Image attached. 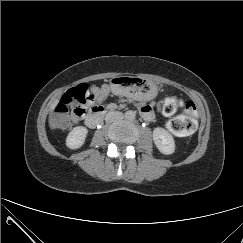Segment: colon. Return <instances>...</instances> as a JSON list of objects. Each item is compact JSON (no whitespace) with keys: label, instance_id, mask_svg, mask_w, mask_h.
Returning <instances> with one entry per match:
<instances>
[{"label":"colon","instance_id":"colon-1","mask_svg":"<svg viewBox=\"0 0 243 243\" xmlns=\"http://www.w3.org/2000/svg\"><path fill=\"white\" fill-rule=\"evenodd\" d=\"M93 98V88L87 83H81L69 89L55 107L50 118L51 126L55 129H63L69 125L71 118L79 120L85 114L86 105ZM178 108H182V113L169 120L166 126L170 132L177 136L190 135L196 128V106L192 101L183 102L176 96H171L165 99L162 111L164 115L170 116Z\"/></svg>","mask_w":243,"mask_h":243}]
</instances>
